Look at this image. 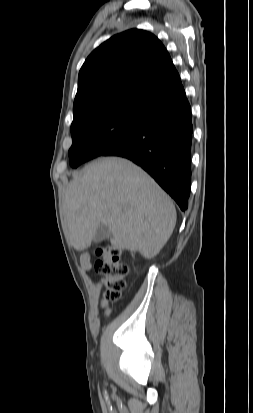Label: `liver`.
Listing matches in <instances>:
<instances>
[{
    "label": "liver",
    "mask_w": 253,
    "mask_h": 413,
    "mask_svg": "<svg viewBox=\"0 0 253 413\" xmlns=\"http://www.w3.org/2000/svg\"><path fill=\"white\" fill-rule=\"evenodd\" d=\"M64 216L77 251L87 249L104 224L114 249L138 251L146 259L160 252L176 224L170 197L140 167L119 157L100 158L74 176Z\"/></svg>",
    "instance_id": "1"
}]
</instances>
